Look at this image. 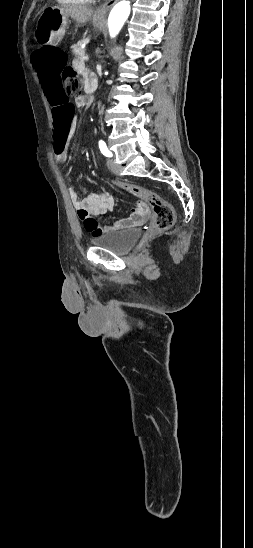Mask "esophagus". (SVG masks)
Returning <instances> with one entry per match:
<instances>
[{
  "mask_svg": "<svg viewBox=\"0 0 253 548\" xmlns=\"http://www.w3.org/2000/svg\"><path fill=\"white\" fill-rule=\"evenodd\" d=\"M119 0H109L95 11V16L103 18Z\"/></svg>",
  "mask_w": 253,
  "mask_h": 548,
  "instance_id": "esophagus-1",
  "label": "esophagus"
}]
</instances>
